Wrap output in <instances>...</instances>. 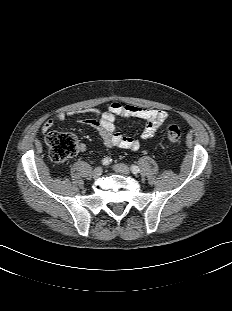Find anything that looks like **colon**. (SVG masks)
<instances>
[{
  "mask_svg": "<svg viewBox=\"0 0 232 311\" xmlns=\"http://www.w3.org/2000/svg\"><path fill=\"white\" fill-rule=\"evenodd\" d=\"M168 139L176 143L182 137V131L177 125H170L167 130ZM46 142L50 148L51 159L62 163L73 157L78 149L77 138L70 133L50 131L46 135Z\"/></svg>",
  "mask_w": 232,
  "mask_h": 311,
  "instance_id": "1",
  "label": "colon"
}]
</instances>
